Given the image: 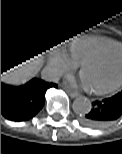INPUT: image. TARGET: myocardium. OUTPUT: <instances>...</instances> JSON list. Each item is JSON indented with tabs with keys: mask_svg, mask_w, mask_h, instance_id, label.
Masks as SVG:
<instances>
[{
	"mask_svg": "<svg viewBox=\"0 0 122 154\" xmlns=\"http://www.w3.org/2000/svg\"><path fill=\"white\" fill-rule=\"evenodd\" d=\"M118 47L119 46L115 44L113 46L107 47V48H105V49H103L101 51H98V52H96L94 54H91V55L85 57L80 62L81 69L83 70L84 67L87 64H89V63H91V62H93V61L101 58L103 55H105L106 53H108L110 51H113L115 49H118ZM120 48H122V47H120ZM121 86H122V76L116 82H114V83H112V84H110L108 86L101 87V88H97V89H91V92L93 94H96V95H103V94L111 93V92L115 91L116 89H118Z\"/></svg>",
	"mask_w": 122,
	"mask_h": 154,
	"instance_id": "f54148a6",
	"label": "myocardium"
}]
</instances>
